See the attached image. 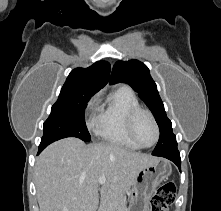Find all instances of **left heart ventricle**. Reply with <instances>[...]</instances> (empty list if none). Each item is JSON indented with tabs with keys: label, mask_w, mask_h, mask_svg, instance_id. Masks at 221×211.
I'll use <instances>...</instances> for the list:
<instances>
[{
	"label": "left heart ventricle",
	"mask_w": 221,
	"mask_h": 211,
	"mask_svg": "<svg viewBox=\"0 0 221 211\" xmlns=\"http://www.w3.org/2000/svg\"><path fill=\"white\" fill-rule=\"evenodd\" d=\"M136 136L138 140L144 145H150L154 142L156 132L154 125L146 114H141L136 122Z\"/></svg>",
	"instance_id": "obj_1"
}]
</instances>
